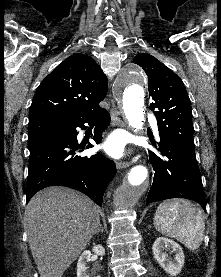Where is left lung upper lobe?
Here are the masks:
<instances>
[{
    "mask_svg": "<svg viewBox=\"0 0 221 277\" xmlns=\"http://www.w3.org/2000/svg\"><path fill=\"white\" fill-rule=\"evenodd\" d=\"M133 62L148 76L150 109L156 116L160 138L195 154L191 104L183 81L149 54H138Z\"/></svg>",
    "mask_w": 221,
    "mask_h": 277,
    "instance_id": "left-lung-upper-lobe-1",
    "label": "left lung upper lobe"
}]
</instances>
